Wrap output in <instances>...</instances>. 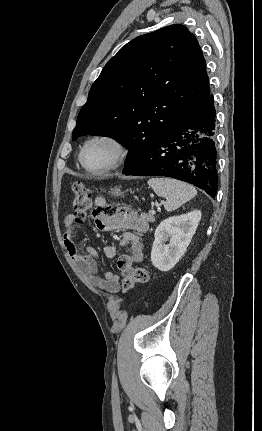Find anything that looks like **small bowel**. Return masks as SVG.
Here are the masks:
<instances>
[{"instance_id": "small-bowel-1", "label": "small bowel", "mask_w": 262, "mask_h": 431, "mask_svg": "<svg viewBox=\"0 0 262 431\" xmlns=\"http://www.w3.org/2000/svg\"><path fill=\"white\" fill-rule=\"evenodd\" d=\"M93 203L97 210L95 214L97 227L109 232H122L119 246L127 247L130 251L129 255L120 257L118 263L120 275L110 271L104 272L102 275L98 273L96 263L98 252L91 246H86L83 251L75 243L76 234L72 216H67L64 221V243L72 261L90 284L112 295L123 294L122 279L132 274V265L141 261L143 257L142 239L148 232V218L142 213L129 209H117L113 214H105L103 209L106 202L102 197L95 198ZM104 254L107 258L114 259L118 254V246H106Z\"/></svg>"}]
</instances>
